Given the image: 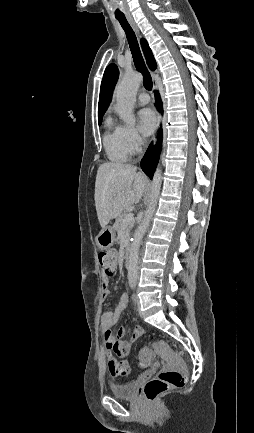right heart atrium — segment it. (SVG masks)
I'll return each instance as SVG.
<instances>
[{
	"label": "right heart atrium",
	"mask_w": 254,
	"mask_h": 433,
	"mask_svg": "<svg viewBox=\"0 0 254 433\" xmlns=\"http://www.w3.org/2000/svg\"><path fill=\"white\" fill-rule=\"evenodd\" d=\"M125 144L131 154L138 153L144 143V139L134 126L122 127Z\"/></svg>",
	"instance_id": "d8ad5b80"
}]
</instances>
